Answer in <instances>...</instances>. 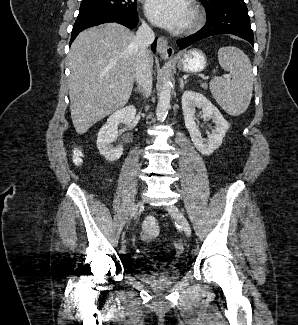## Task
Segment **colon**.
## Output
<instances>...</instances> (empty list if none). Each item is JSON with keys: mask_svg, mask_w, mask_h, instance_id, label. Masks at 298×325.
I'll list each match as a JSON object with an SVG mask.
<instances>
[{"mask_svg": "<svg viewBox=\"0 0 298 325\" xmlns=\"http://www.w3.org/2000/svg\"><path fill=\"white\" fill-rule=\"evenodd\" d=\"M75 162L77 165L81 164L80 156L76 157ZM159 234V224L155 217L147 216L142 222L141 238L144 241H152Z\"/></svg>", "mask_w": 298, "mask_h": 325, "instance_id": "1", "label": "colon"}]
</instances>
